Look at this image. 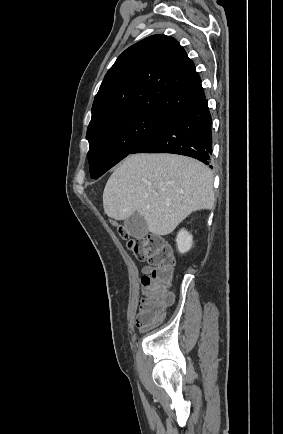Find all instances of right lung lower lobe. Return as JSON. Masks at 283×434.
<instances>
[{
  "instance_id": "98d812e1",
  "label": "right lung lower lobe",
  "mask_w": 283,
  "mask_h": 434,
  "mask_svg": "<svg viewBox=\"0 0 283 434\" xmlns=\"http://www.w3.org/2000/svg\"><path fill=\"white\" fill-rule=\"evenodd\" d=\"M133 153H174L208 164L212 155V119L207 100L169 119Z\"/></svg>"
}]
</instances>
